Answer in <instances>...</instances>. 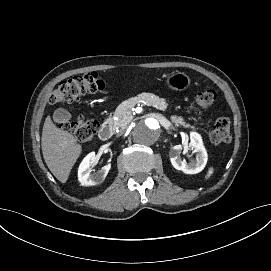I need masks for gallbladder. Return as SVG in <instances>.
<instances>
[{
	"instance_id": "1",
	"label": "gallbladder",
	"mask_w": 271,
	"mask_h": 271,
	"mask_svg": "<svg viewBox=\"0 0 271 271\" xmlns=\"http://www.w3.org/2000/svg\"><path fill=\"white\" fill-rule=\"evenodd\" d=\"M70 118L71 114L63 108H59L54 111L53 120L57 123H66Z\"/></svg>"
}]
</instances>
